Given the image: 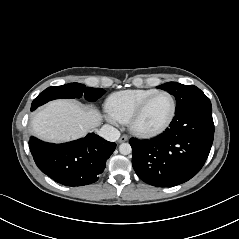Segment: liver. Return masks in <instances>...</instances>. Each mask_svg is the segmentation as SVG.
<instances>
[{
    "label": "liver",
    "instance_id": "liver-1",
    "mask_svg": "<svg viewBox=\"0 0 239 239\" xmlns=\"http://www.w3.org/2000/svg\"><path fill=\"white\" fill-rule=\"evenodd\" d=\"M101 120L96 108L71 100H55L34 114L31 130L45 141L64 142L96 130Z\"/></svg>",
    "mask_w": 239,
    "mask_h": 239
}]
</instances>
